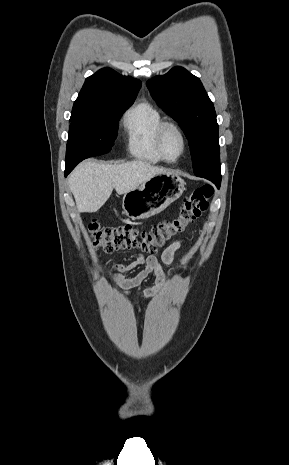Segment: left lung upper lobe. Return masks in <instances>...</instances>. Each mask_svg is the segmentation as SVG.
I'll return each instance as SVG.
<instances>
[{"instance_id": "5c2ea615", "label": "left lung upper lobe", "mask_w": 289, "mask_h": 465, "mask_svg": "<svg viewBox=\"0 0 289 465\" xmlns=\"http://www.w3.org/2000/svg\"><path fill=\"white\" fill-rule=\"evenodd\" d=\"M156 103L184 131L196 176L221 183L218 124L214 105L201 81L182 67L147 81Z\"/></svg>"}]
</instances>
